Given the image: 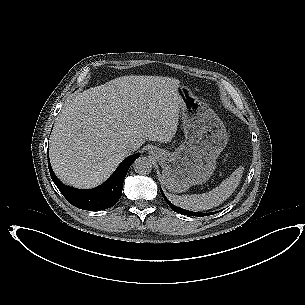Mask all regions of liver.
I'll return each instance as SVG.
<instances>
[{
  "mask_svg": "<svg viewBox=\"0 0 305 305\" xmlns=\"http://www.w3.org/2000/svg\"><path fill=\"white\" fill-rule=\"evenodd\" d=\"M177 79L157 87L174 94ZM176 109L160 110L147 87L126 76L74 95L63 107L50 138V161L57 177L77 188L102 184L129 154L124 145L169 142L177 130Z\"/></svg>",
  "mask_w": 305,
  "mask_h": 305,
  "instance_id": "obj_1",
  "label": "liver"
}]
</instances>
